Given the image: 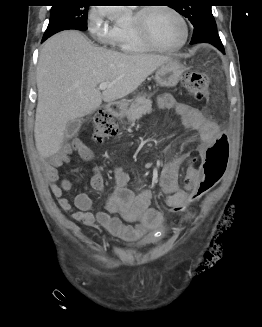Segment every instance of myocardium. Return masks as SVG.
I'll return each instance as SVG.
<instances>
[{
    "instance_id": "myocardium-1",
    "label": "myocardium",
    "mask_w": 262,
    "mask_h": 327,
    "mask_svg": "<svg viewBox=\"0 0 262 327\" xmlns=\"http://www.w3.org/2000/svg\"><path fill=\"white\" fill-rule=\"evenodd\" d=\"M155 9H165L174 14L179 19L183 26V39L179 44L175 46H162L152 38L151 34L147 29L146 17L150 11ZM131 28L146 46L155 51H177L186 45L189 38V26L185 17L176 8L167 4L150 5L140 8L133 16Z\"/></svg>"
}]
</instances>
